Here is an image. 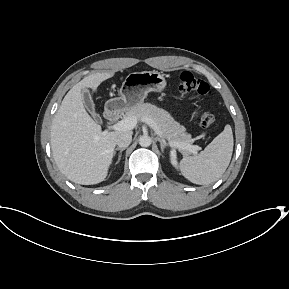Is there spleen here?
Masks as SVG:
<instances>
[{
	"mask_svg": "<svg viewBox=\"0 0 289 289\" xmlns=\"http://www.w3.org/2000/svg\"><path fill=\"white\" fill-rule=\"evenodd\" d=\"M233 145L231 126L226 125L224 130L199 155L184 157L181 160L182 175L199 185L217 181L230 163Z\"/></svg>",
	"mask_w": 289,
	"mask_h": 289,
	"instance_id": "3e777b00",
	"label": "spleen"
}]
</instances>
